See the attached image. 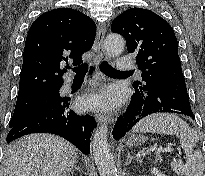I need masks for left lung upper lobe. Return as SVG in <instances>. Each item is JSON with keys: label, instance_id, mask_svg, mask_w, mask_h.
I'll list each match as a JSON object with an SVG mask.
<instances>
[{"label": "left lung upper lobe", "instance_id": "5c2ea615", "mask_svg": "<svg viewBox=\"0 0 205 176\" xmlns=\"http://www.w3.org/2000/svg\"><path fill=\"white\" fill-rule=\"evenodd\" d=\"M111 31L121 34L127 41L128 52L136 56L143 82L134 83V87L162 74L182 73L174 31L154 12L128 9L114 19Z\"/></svg>", "mask_w": 205, "mask_h": 176}]
</instances>
